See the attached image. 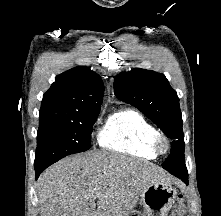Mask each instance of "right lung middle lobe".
I'll return each mask as SVG.
<instances>
[{
  "label": "right lung middle lobe",
  "mask_w": 221,
  "mask_h": 216,
  "mask_svg": "<svg viewBox=\"0 0 221 216\" xmlns=\"http://www.w3.org/2000/svg\"><path fill=\"white\" fill-rule=\"evenodd\" d=\"M99 111L39 124L35 166L51 165L63 157L88 150Z\"/></svg>",
  "instance_id": "1"
}]
</instances>
